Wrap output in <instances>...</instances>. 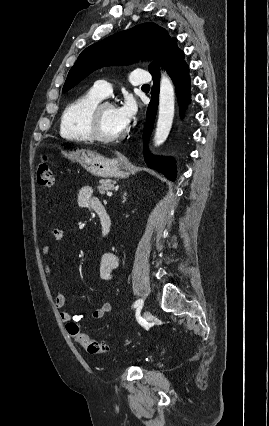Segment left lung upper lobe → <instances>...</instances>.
Wrapping results in <instances>:
<instances>
[{
  "instance_id": "left-lung-upper-lobe-1",
  "label": "left lung upper lobe",
  "mask_w": 269,
  "mask_h": 426,
  "mask_svg": "<svg viewBox=\"0 0 269 426\" xmlns=\"http://www.w3.org/2000/svg\"><path fill=\"white\" fill-rule=\"evenodd\" d=\"M175 38L155 23H144L109 36L81 52L68 73L63 86L66 92L98 68L109 65H128L139 58L157 62ZM154 66L152 63L149 70Z\"/></svg>"
}]
</instances>
